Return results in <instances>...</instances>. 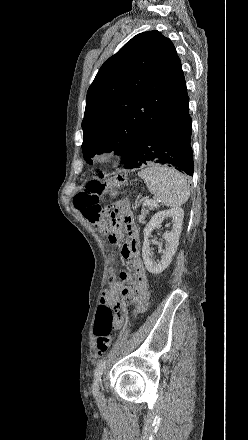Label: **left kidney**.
Wrapping results in <instances>:
<instances>
[{
	"mask_svg": "<svg viewBox=\"0 0 248 440\" xmlns=\"http://www.w3.org/2000/svg\"><path fill=\"white\" fill-rule=\"evenodd\" d=\"M184 211L180 207L171 208L168 210H163L157 212L149 223L144 228V242L142 247V257L144 260L145 267L148 272L152 274H159L164 271L172 261V257L176 253L177 247L179 245V237L182 231ZM166 218L172 219V230L169 233H165L163 238L166 241V248L163 250V255L161 259L155 262L152 258L149 237L152 231L160 227L161 223Z\"/></svg>",
	"mask_w": 248,
	"mask_h": 440,
	"instance_id": "left-kidney-1",
	"label": "left kidney"
}]
</instances>
